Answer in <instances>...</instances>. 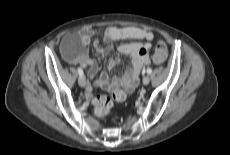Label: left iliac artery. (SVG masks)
Wrapping results in <instances>:
<instances>
[{
	"label": "left iliac artery",
	"instance_id": "44dca946",
	"mask_svg": "<svg viewBox=\"0 0 230 155\" xmlns=\"http://www.w3.org/2000/svg\"><path fill=\"white\" fill-rule=\"evenodd\" d=\"M146 72H147L148 74H151V73H152V69H151V68H148V69L146 70Z\"/></svg>",
	"mask_w": 230,
	"mask_h": 155
}]
</instances>
